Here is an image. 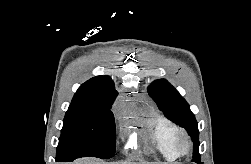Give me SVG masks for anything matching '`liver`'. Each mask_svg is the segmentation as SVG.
Wrapping results in <instances>:
<instances>
[{
  "label": "liver",
  "mask_w": 251,
  "mask_h": 164,
  "mask_svg": "<svg viewBox=\"0 0 251 164\" xmlns=\"http://www.w3.org/2000/svg\"><path fill=\"white\" fill-rule=\"evenodd\" d=\"M72 164H110L98 161L97 159L87 158V159H80ZM111 164H118V163H111ZM121 164H136V163H121Z\"/></svg>",
  "instance_id": "obj_1"
}]
</instances>
